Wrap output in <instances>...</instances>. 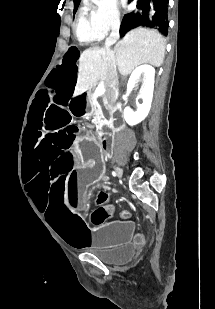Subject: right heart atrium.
Masks as SVG:
<instances>
[{"mask_svg": "<svg viewBox=\"0 0 215 309\" xmlns=\"http://www.w3.org/2000/svg\"><path fill=\"white\" fill-rule=\"evenodd\" d=\"M95 5L100 7L92 17V25L99 32L98 38L116 33L121 24L117 0H95Z\"/></svg>", "mask_w": 215, "mask_h": 309, "instance_id": "right-heart-atrium-1", "label": "right heart atrium"}]
</instances>
